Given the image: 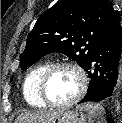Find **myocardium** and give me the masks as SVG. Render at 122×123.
<instances>
[{
	"label": "myocardium",
	"instance_id": "f54148a6",
	"mask_svg": "<svg viewBox=\"0 0 122 123\" xmlns=\"http://www.w3.org/2000/svg\"><path fill=\"white\" fill-rule=\"evenodd\" d=\"M63 68L73 69L78 74L80 79V86H79L78 92L73 98H71L70 100L66 102L57 103V102L51 101L48 98L47 86L51 76L57 70L63 69ZM87 87H88V78L82 67L72 62H61V63L52 64L43 74L39 83V96L46 106H49L52 108H66V107H70L74 105L79 100H81L84 94L86 93Z\"/></svg>",
	"mask_w": 122,
	"mask_h": 123
}]
</instances>
